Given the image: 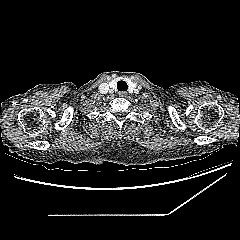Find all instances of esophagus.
I'll return each mask as SVG.
<instances>
[{"instance_id": "34e87169", "label": "esophagus", "mask_w": 240, "mask_h": 240, "mask_svg": "<svg viewBox=\"0 0 240 240\" xmlns=\"http://www.w3.org/2000/svg\"><path fill=\"white\" fill-rule=\"evenodd\" d=\"M126 95H127L126 92H120V93H119V96H120V97H126Z\"/></svg>"}]
</instances>
